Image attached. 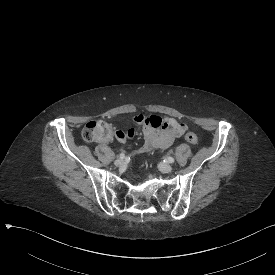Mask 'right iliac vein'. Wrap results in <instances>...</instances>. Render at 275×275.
<instances>
[{"instance_id": "right-iliac-vein-1", "label": "right iliac vein", "mask_w": 275, "mask_h": 275, "mask_svg": "<svg viewBox=\"0 0 275 275\" xmlns=\"http://www.w3.org/2000/svg\"><path fill=\"white\" fill-rule=\"evenodd\" d=\"M114 164L117 166V167H122L124 164H125V161L123 159H116L114 161Z\"/></svg>"}]
</instances>
